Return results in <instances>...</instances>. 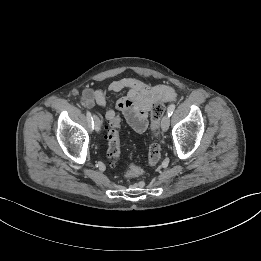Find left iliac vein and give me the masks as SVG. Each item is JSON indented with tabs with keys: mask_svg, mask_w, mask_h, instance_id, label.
I'll return each instance as SVG.
<instances>
[{
	"mask_svg": "<svg viewBox=\"0 0 261 261\" xmlns=\"http://www.w3.org/2000/svg\"><path fill=\"white\" fill-rule=\"evenodd\" d=\"M170 118L168 115H165L161 120V128L165 132L169 128Z\"/></svg>",
	"mask_w": 261,
	"mask_h": 261,
	"instance_id": "left-iliac-vein-1",
	"label": "left iliac vein"
}]
</instances>
